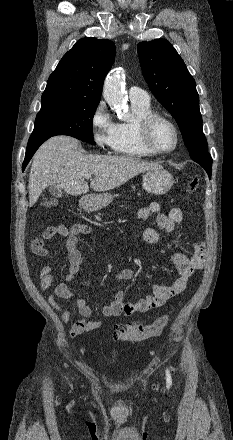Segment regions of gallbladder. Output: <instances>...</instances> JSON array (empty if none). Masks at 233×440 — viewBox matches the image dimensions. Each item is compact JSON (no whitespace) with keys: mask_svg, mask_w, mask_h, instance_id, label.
Listing matches in <instances>:
<instances>
[{"mask_svg":"<svg viewBox=\"0 0 233 440\" xmlns=\"http://www.w3.org/2000/svg\"><path fill=\"white\" fill-rule=\"evenodd\" d=\"M49 192L56 198H60L63 196L62 190L54 186L49 187Z\"/></svg>","mask_w":233,"mask_h":440,"instance_id":"1","label":"gallbladder"}]
</instances>
